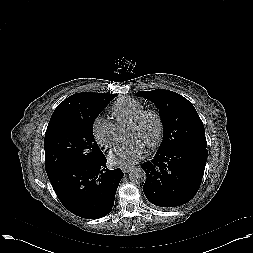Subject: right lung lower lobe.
Masks as SVG:
<instances>
[{"mask_svg": "<svg viewBox=\"0 0 253 253\" xmlns=\"http://www.w3.org/2000/svg\"><path fill=\"white\" fill-rule=\"evenodd\" d=\"M105 155L92 163H80L48 173L51 185L61 201L73 214L98 219L112 210L120 180V168H106Z\"/></svg>", "mask_w": 253, "mask_h": 253, "instance_id": "right-lung-lower-lobe-1", "label": "right lung lower lobe"}]
</instances>
